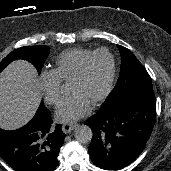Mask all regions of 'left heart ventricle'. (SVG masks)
Listing matches in <instances>:
<instances>
[{
	"label": "left heart ventricle",
	"instance_id": "1",
	"mask_svg": "<svg viewBox=\"0 0 171 171\" xmlns=\"http://www.w3.org/2000/svg\"><path fill=\"white\" fill-rule=\"evenodd\" d=\"M110 70L111 63L107 55L95 56L89 62L84 75L78 80L69 82V93L80 94L93 105L107 86Z\"/></svg>",
	"mask_w": 171,
	"mask_h": 171
}]
</instances>
